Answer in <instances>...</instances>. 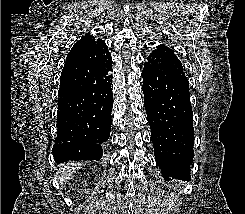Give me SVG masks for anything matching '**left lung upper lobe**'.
<instances>
[{
  "label": "left lung upper lobe",
  "instance_id": "obj_1",
  "mask_svg": "<svg viewBox=\"0 0 245 214\" xmlns=\"http://www.w3.org/2000/svg\"><path fill=\"white\" fill-rule=\"evenodd\" d=\"M145 65L155 66L164 71L184 75L183 66L174 52L165 45L156 47L148 57Z\"/></svg>",
  "mask_w": 245,
  "mask_h": 214
}]
</instances>
